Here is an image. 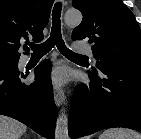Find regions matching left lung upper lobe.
Here are the masks:
<instances>
[{
  "instance_id": "5c2ea615",
  "label": "left lung upper lobe",
  "mask_w": 141,
  "mask_h": 139,
  "mask_svg": "<svg viewBox=\"0 0 141 139\" xmlns=\"http://www.w3.org/2000/svg\"><path fill=\"white\" fill-rule=\"evenodd\" d=\"M83 14L73 40L93 43L96 66L141 69V32L134 14L121 0H73Z\"/></svg>"
}]
</instances>
